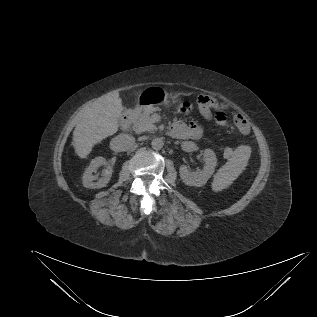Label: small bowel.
<instances>
[{
  "instance_id": "c3829d8e",
  "label": "small bowel",
  "mask_w": 317,
  "mask_h": 317,
  "mask_svg": "<svg viewBox=\"0 0 317 317\" xmlns=\"http://www.w3.org/2000/svg\"><path fill=\"white\" fill-rule=\"evenodd\" d=\"M204 116H209L210 113H203ZM240 116V121L242 122L241 126H238L240 132L242 134L249 133V125L248 122L242 115ZM170 133L173 137L180 140H198L203 136V128L194 122L186 123L184 121H176L170 130Z\"/></svg>"
}]
</instances>
